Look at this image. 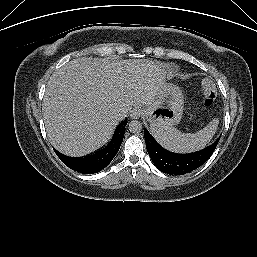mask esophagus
I'll list each match as a JSON object with an SVG mask.
<instances>
[{"label": "esophagus", "instance_id": "esophagus-1", "mask_svg": "<svg viewBox=\"0 0 257 257\" xmlns=\"http://www.w3.org/2000/svg\"><path fill=\"white\" fill-rule=\"evenodd\" d=\"M143 114V110L140 107H134L130 111V117L132 119H138Z\"/></svg>", "mask_w": 257, "mask_h": 257}]
</instances>
